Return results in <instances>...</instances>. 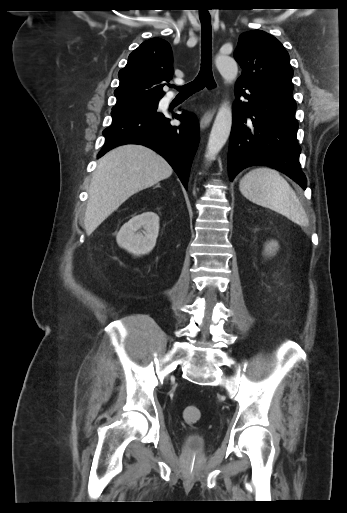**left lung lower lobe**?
I'll list each match as a JSON object with an SVG mask.
<instances>
[{
	"label": "left lung lower lobe",
	"instance_id": "obj_1",
	"mask_svg": "<svg viewBox=\"0 0 347 513\" xmlns=\"http://www.w3.org/2000/svg\"><path fill=\"white\" fill-rule=\"evenodd\" d=\"M293 87L237 81L228 167L230 180L252 165L275 168L306 189L297 143Z\"/></svg>",
	"mask_w": 347,
	"mask_h": 513
}]
</instances>
